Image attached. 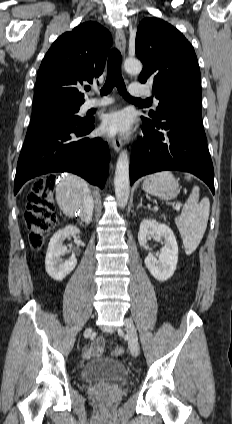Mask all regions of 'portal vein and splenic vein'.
<instances>
[{"mask_svg":"<svg viewBox=\"0 0 232 424\" xmlns=\"http://www.w3.org/2000/svg\"><path fill=\"white\" fill-rule=\"evenodd\" d=\"M174 208H175L177 211H179V210H180V205L176 204V205L174 206Z\"/></svg>","mask_w":232,"mask_h":424,"instance_id":"1","label":"portal vein and splenic vein"}]
</instances>
